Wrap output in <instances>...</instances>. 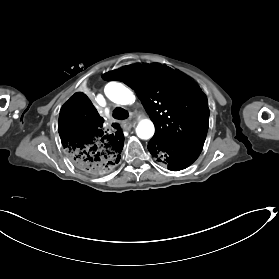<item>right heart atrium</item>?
Segmentation results:
<instances>
[{
    "label": "right heart atrium",
    "mask_w": 279,
    "mask_h": 279,
    "mask_svg": "<svg viewBox=\"0 0 279 279\" xmlns=\"http://www.w3.org/2000/svg\"><path fill=\"white\" fill-rule=\"evenodd\" d=\"M133 57L136 58V59H140V56L137 55V54H135ZM140 120H141L145 125H147V121H146L145 119H143V118L140 117Z\"/></svg>",
    "instance_id": "right-heart-atrium-1"
}]
</instances>
